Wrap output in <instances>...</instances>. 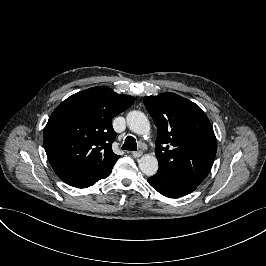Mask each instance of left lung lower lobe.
Segmentation results:
<instances>
[{
    "instance_id": "1",
    "label": "left lung lower lobe",
    "mask_w": 266,
    "mask_h": 266,
    "mask_svg": "<svg viewBox=\"0 0 266 266\" xmlns=\"http://www.w3.org/2000/svg\"><path fill=\"white\" fill-rule=\"evenodd\" d=\"M148 183L159 193L169 198L187 195L199 185L163 169H159L154 176L148 178Z\"/></svg>"
}]
</instances>
